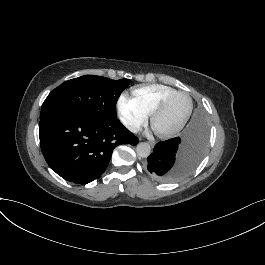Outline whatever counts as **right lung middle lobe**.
<instances>
[{"label":"right lung middle lobe","mask_w":265,"mask_h":265,"mask_svg":"<svg viewBox=\"0 0 265 265\" xmlns=\"http://www.w3.org/2000/svg\"><path fill=\"white\" fill-rule=\"evenodd\" d=\"M129 79L85 75L62 83L44 101L40 120L60 112H77L97 119H117L116 103Z\"/></svg>","instance_id":"obj_1"}]
</instances>
